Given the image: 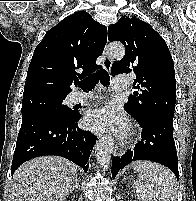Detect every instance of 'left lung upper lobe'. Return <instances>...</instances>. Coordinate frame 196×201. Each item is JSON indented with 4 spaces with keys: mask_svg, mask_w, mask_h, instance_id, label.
<instances>
[{
    "mask_svg": "<svg viewBox=\"0 0 196 201\" xmlns=\"http://www.w3.org/2000/svg\"><path fill=\"white\" fill-rule=\"evenodd\" d=\"M108 40L125 45V56L112 65V75L134 72L140 93L128 97L124 109L137 121L151 115L173 117L176 103L174 63L164 39L148 23L123 16L108 27Z\"/></svg>",
    "mask_w": 196,
    "mask_h": 201,
    "instance_id": "5c2ea615",
    "label": "left lung upper lobe"
}]
</instances>
